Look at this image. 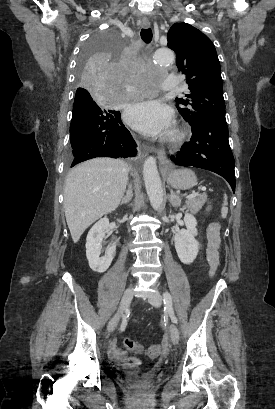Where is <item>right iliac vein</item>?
<instances>
[{"instance_id":"right-iliac-vein-1","label":"right iliac vein","mask_w":275,"mask_h":409,"mask_svg":"<svg viewBox=\"0 0 275 409\" xmlns=\"http://www.w3.org/2000/svg\"><path fill=\"white\" fill-rule=\"evenodd\" d=\"M133 294H134V291L132 288L126 289L125 292L123 293L119 309L115 313V315L112 317V319L110 320L107 326V329L110 333L115 330L123 311H125L130 305V302L133 299Z\"/></svg>"}]
</instances>
